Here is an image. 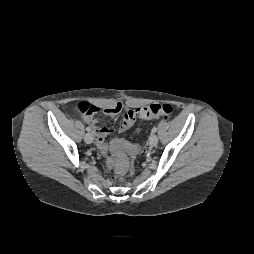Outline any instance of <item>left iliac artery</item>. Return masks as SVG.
<instances>
[{"mask_svg": "<svg viewBox=\"0 0 254 254\" xmlns=\"http://www.w3.org/2000/svg\"><path fill=\"white\" fill-rule=\"evenodd\" d=\"M157 131V127L152 128V133H155Z\"/></svg>", "mask_w": 254, "mask_h": 254, "instance_id": "1", "label": "left iliac artery"}]
</instances>
